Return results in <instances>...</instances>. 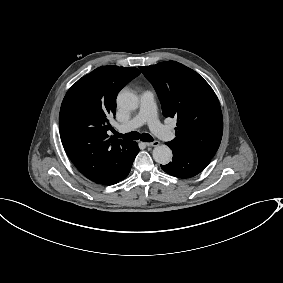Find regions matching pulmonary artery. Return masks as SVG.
Returning <instances> with one entry per match:
<instances>
[{"label": "pulmonary artery", "mask_w": 283, "mask_h": 283, "mask_svg": "<svg viewBox=\"0 0 283 283\" xmlns=\"http://www.w3.org/2000/svg\"><path fill=\"white\" fill-rule=\"evenodd\" d=\"M154 96L150 91H144L139 95V108L131 121L118 124L117 130L125 133L141 126L145 121L147 127L158 137L169 141L173 138V131L157 120Z\"/></svg>", "instance_id": "e3ab8cb5"}]
</instances>
